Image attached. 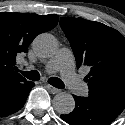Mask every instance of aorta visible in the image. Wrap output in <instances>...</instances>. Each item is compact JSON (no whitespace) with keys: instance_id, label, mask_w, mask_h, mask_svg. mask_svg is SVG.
<instances>
[{"instance_id":"obj_1","label":"aorta","mask_w":125,"mask_h":125,"mask_svg":"<svg viewBox=\"0 0 125 125\" xmlns=\"http://www.w3.org/2000/svg\"><path fill=\"white\" fill-rule=\"evenodd\" d=\"M33 49L38 56L51 57L57 50V42L50 34H40L33 41ZM53 107L60 114H69L75 108V101L71 94L61 92L53 98Z\"/></svg>"}]
</instances>
